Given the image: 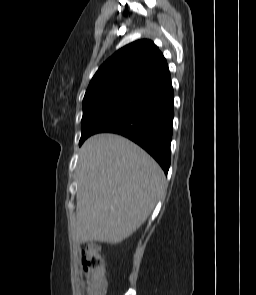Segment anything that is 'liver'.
<instances>
[{
	"label": "liver",
	"instance_id": "6515ba94",
	"mask_svg": "<svg viewBox=\"0 0 256 295\" xmlns=\"http://www.w3.org/2000/svg\"><path fill=\"white\" fill-rule=\"evenodd\" d=\"M75 239L116 244L148 218L165 187L158 163L130 140L97 134L81 147L76 168Z\"/></svg>",
	"mask_w": 256,
	"mask_h": 295
}]
</instances>
